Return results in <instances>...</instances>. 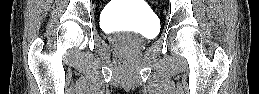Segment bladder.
Here are the masks:
<instances>
[{
	"instance_id": "31cf9c89",
	"label": "bladder",
	"mask_w": 259,
	"mask_h": 94,
	"mask_svg": "<svg viewBox=\"0 0 259 94\" xmlns=\"http://www.w3.org/2000/svg\"><path fill=\"white\" fill-rule=\"evenodd\" d=\"M138 21H142V22H140V23H143V25H145V23H146V22H145L146 20H144V19H140V20H138Z\"/></svg>"
}]
</instances>
